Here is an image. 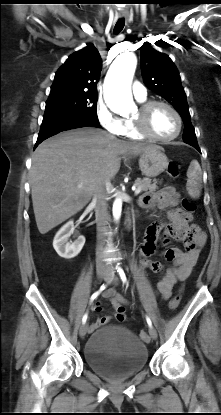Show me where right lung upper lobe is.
Listing matches in <instances>:
<instances>
[{"mask_svg":"<svg viewBox=\"0 0 221 415\" xmlns=\"http://www.w3.org/2000/svg\"><path fill=\"white\" fill-rule=\"evenodd\" d=\"M102 60L92 44L68 57L55 74L50 93L62 91L97 92Z\"/></svg>","mask_w":221,"mask_h":415,"instance_id":"obj_1","label":"right lung upper lobe"}]
</instances>
